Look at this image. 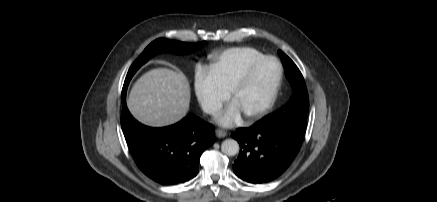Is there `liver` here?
<instances>
[{"instance_id": "6515ba94", "label": "liver", "mask_w": 437, "mask_h": 202, "mask_svg": "<svg viewBox=\"0 0 437 202\" xmlns=\"http://www.w3.org/2000/svg\"><path fill=\"white\" fill-rule=\"evenodd\" d=\"M190 98L189 82L182 72L156 68L135 82L127 106L140 123L162 127L176 123L186 115Z\"/></svg>"}]
</instances>
